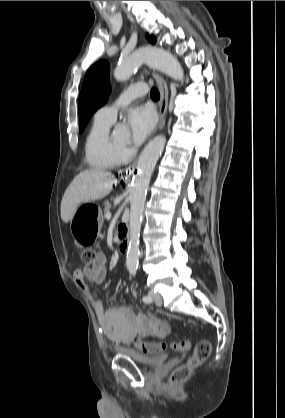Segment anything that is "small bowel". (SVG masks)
Listing matches in <instances>:
<instances>
[{
    "mask_svg": "<svg viewBox=\"0 0 285 418\" xmlns=\"http://www.w3.org/2000/svg\"><path fill=\"white\" fill-rule=\"evenodd\" d=\"M73 278L88 292L93 284L104 285L107 278L105 255L98 253L95 261L75 271ZM132 293L136 295L135 288H132ZM91 300L102 333L116 346H129L137 335L165 338L170 333L168 323L152 314L135 313L127 307L118 306L105 309L97 295H91Z\"/></svg>",
    "mask_w": 285,
    "mask_h": 418,
    "instance_id": "obj_1",
    "label": "small bowel"
}]
</instances>
